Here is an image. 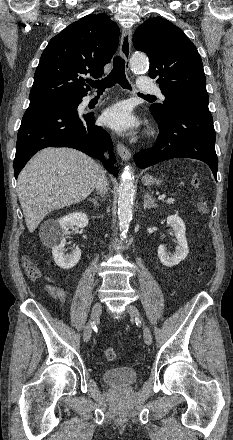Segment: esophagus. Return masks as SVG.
<instances>
[{
  "label": "esophagus",
  "mask_w": 233,
  "mask_h": 440,
  "mask_svg": "<svg viewBox=\"0 0 233 440\" xmlns=\"http://www.w3.org/2000/svg\"><path fill=\"white\" fill-rule=\"evenodd\" d=\"M131 40H132V31L130 29H123L121 43H120V55L125 61L126 69H129ZM117 152L123 161H128L131 157L130 150L127 147H125L122 143L117 144Z\"/></svg>",
  "instance_id": "obj_1"
}]
</instances>
